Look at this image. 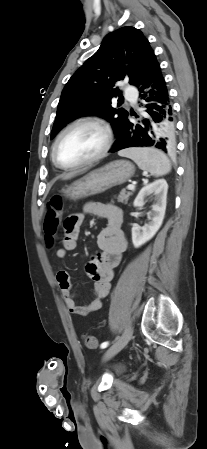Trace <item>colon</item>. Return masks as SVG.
Returning a JSON list of instances; mask_svg holds the SVG:
<instances>
[{"label": "colon", "instance_id": "obj_1", "mask_svg": "<svg viewBox=\"0 0 207 449\" xmlns=\"http://www.w3.org/2000/svg\"><path fill=\"white\" fill-rule=\"evenodd\" d=\"M62 218V199L53 196L47 203V215L44 221V232L49 241H53L57 234ZM84 343L88 348L97 347V339L93 335H84Z\"/></svg>", "mask_w": 207, "mask_h": 449}]
</instances>
